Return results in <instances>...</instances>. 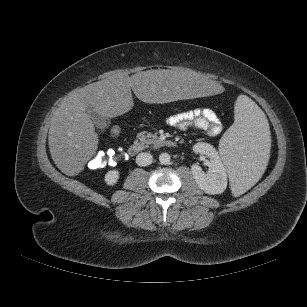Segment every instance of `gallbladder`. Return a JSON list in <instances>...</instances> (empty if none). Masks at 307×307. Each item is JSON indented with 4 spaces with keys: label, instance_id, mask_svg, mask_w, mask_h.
I'll return each instance as SVG.
<instances>
[{
    "label": "gallbladder",
    "instance_id": "obj_1",
    "mask_svg": "<svg viewBox=\"0 0 307 307\" xmlns=\"http://www.w3.org/2000/svg\"><path fill=\"white\" fill-rule=\"evenodd\" d=\"M87 113L97 128L105 129L107 127L108 124L106 118L100 115L93 107H89Z\"/></svg>",
    "mask_w": 307,
    "mask_h": 307
}]
</instances>
